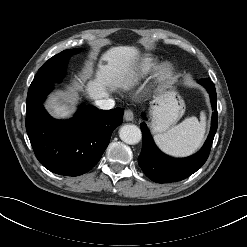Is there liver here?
Returning <instances> with one entry per match:
<instances>
[{"mask_svg":"<svg viewBox=\"0 0 247 247\" xmlns=\"http://www.w3.org/2000/svg\"><path fill=\"white\" fill-rule=\"evenodd\" d=\"M138 57V49L129 46L113 47L103 54L102 60L107 64L99 65L96 78L88 83L86 89L90 99L106 98L109 96V88L115 90L128 82L134 75ZM48 107L57 118H68L74 111L73 107L56 98L48 102Z\"/></svg>","mask_w":247,"mask_h":247,"instance_id":"6515ba94","label":"liver"}]
</instances>
